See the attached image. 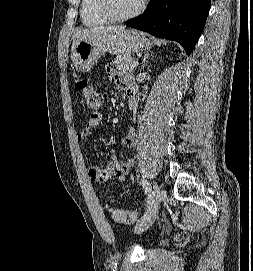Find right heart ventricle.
<instances>
[{
  "label": "right heart ventricle",
  "mask_w": 253,
  "mask_h": 271,
  "mask_svg": "<svg viewBox=\"0 0 253 271\" xmlns=\"http://www.w3.org/2000/svg\"><path fill=\"white\" fill-rule=\"evenodd\" d=\"M80 17L87 27H98L110 22L99 9V0H81Z\"/></svg>",
  "instance_id": "e07e8e85"
}]
</instances>
